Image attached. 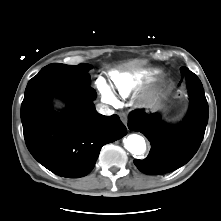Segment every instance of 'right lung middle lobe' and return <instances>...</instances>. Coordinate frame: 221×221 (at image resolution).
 Listing matches in <instances>:
<instances>
[{"label":"right lung middle lobe","instance_id":"1","mask_svg":"<svg viewBox=\"0 0 221 221\" xmlns=\"http://www.w3.org/2000/svg\"><path fill=\"white\" fill-rule=\"evenodd\" d=\"M92 66L86 63L72 66L60 63L50 64L41 69V71L32 79H46L62 82L69 85H88L90 76L88 70Z\"/></svg>","mask_w":221,"mask_h":221}]
</instances>
